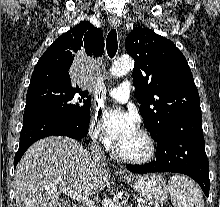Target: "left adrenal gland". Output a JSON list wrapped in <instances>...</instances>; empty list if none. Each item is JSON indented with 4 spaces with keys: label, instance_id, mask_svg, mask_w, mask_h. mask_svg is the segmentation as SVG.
I'll return each instance as SVG.
<instances>
[{
    "label": "left adrenal gland",
    "instance_id": "obj_1",
    "mask_svg": "<svg viewBox=\"0 0 220 207\" xmlns=\"http://www.w3.org/2000/svg\"><path fill=\"white\" fill-rule=\"evenodd\" d=\"M127 207H132V204H131V205H128Z\"/></svg>",
    "mask_w": 220,
    "mask_h": 207
}]
</instances>
